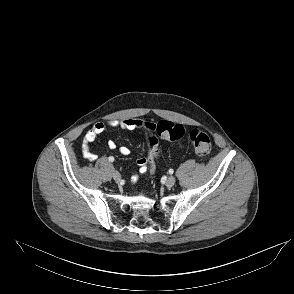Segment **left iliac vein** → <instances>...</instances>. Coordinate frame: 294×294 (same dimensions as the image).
I'll use <instances>...</instances> for the list:
<instances>
[{
  "instance_id": "1",
  "label": "left iliac vein",
  "mask_w": 294,
  "mask_h": 294,
  "mask_svg": "<svg viewBox=\"0 0 294 294\" xmlns=\"http://www.w3.org/2000/svg\"><path fill=\"white\" fill-rule=\"evenodd\" d=\"M175 182H176L175 177L170 176V177L166 180L165 184H166V186H168V187H172V186L175 184Z\"/></svg>"
}]
</instances>
